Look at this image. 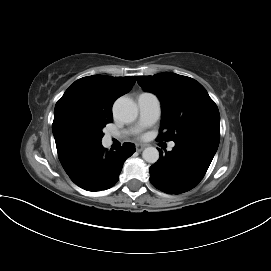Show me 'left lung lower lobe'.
<instances>
[{
	"instance_id": "1",
	"label": "left lung lower lobe",
	"mask_w": 271,
	"mask_h": 271,
	"mask_svg": "<svg viewBox=\"0 0 271 271\" xmlns=\"http://www.w3.org/2000/svg\"><path fill=\"white\" fill-rule=\"evenodd\" d=\"M218 146L190 139L175 142L170 152L150 167V182L168 194H180L194 188L204 177Z\"/></svg>"
}]
</instances>
